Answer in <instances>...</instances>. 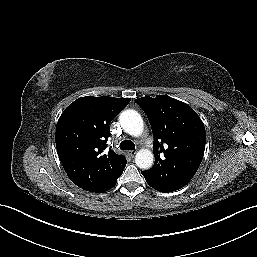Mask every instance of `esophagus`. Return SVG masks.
<instances>
[{
  "label": "esophagus",
  "instance_id": "esophagus-1",
  "mask_svg": "<svg viewBox=\"0 0 257 257\" xmlns=\"http://www.w3.org/2000/svg\"><path fill=\"white\" fill-rule=\"evenodd\" d=\"M136 153H137L136 150H131V151L128 152L130 157H134Z\"/></svg>",
  "mask_w": 257,
  "mask_h": 257
}]
</instances>
